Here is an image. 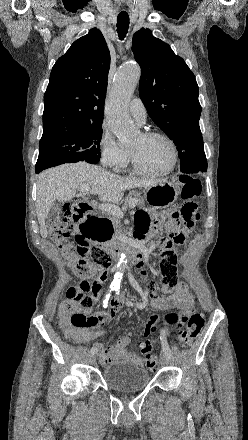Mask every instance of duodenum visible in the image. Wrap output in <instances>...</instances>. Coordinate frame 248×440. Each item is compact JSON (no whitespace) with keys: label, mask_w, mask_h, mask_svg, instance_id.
Instances as JSON below:
<instances>
[{"label":"duodenum","mask_w":248,"mask_h":440,"mask_svg":"<svg viewBox=\"0 0 248 440\" xmlns=\"http://www.w3.org/2000/svg\"><path fill=\"white\" fill-rule=\"evenodd\" d=\"M80 209L84 212V220L86 221V225L88 228H91L89 225V220L92 218V214L90 213L91 204L87 201H81L76 204ZM139 240L140 238L134 236V238L130 241L123 242L120 244H115L113 246H106V252L109 253L115 260H118L122 255L126 256L131 262L136 263L138 266L142 265V253L139 249Z\"/></svg>","instance_id":"obj_1"}]
</instances>
